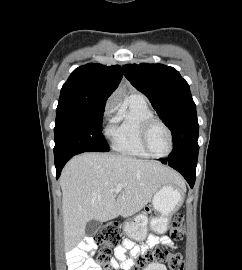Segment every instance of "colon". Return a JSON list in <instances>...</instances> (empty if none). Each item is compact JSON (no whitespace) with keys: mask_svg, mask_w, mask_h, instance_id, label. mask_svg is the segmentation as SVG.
Returning <instances> with one entry per match:
<instances>
[{"mask_svg":"<svg viewBox=\"0 0 242 270\" xmlns=\"http://www.w3.org/2000/svg\"><path fill=\"white\" fill-rule=\"evenodd\" d=\"M170 236L175 241L184 239L183 215L176 214L170 225ZM99 253L96 263L103 270H111L109 255L112 248L121 241V231L117 224L108 223L99 229L92 238ZM152 263H164L169 270H184V262L181 254L171 251L168 248H156L155 250L141 255L133 270H146Z\"/></svg>","mask_w":242,"mask_h":270,"instance_id":"1","label":"colon"}]
</instances>
